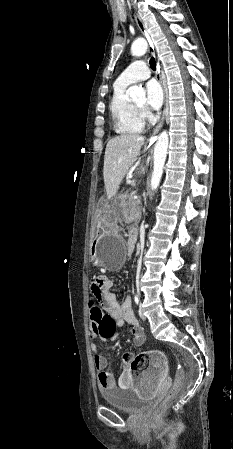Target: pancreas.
<instances>
[{
    "label": "pancreas",
    "instance_id": "pancreas-1",
    "mask_svg": "<svg viewBox=\"0 0 233 449\" xmlns=\"http://www.w3.org/2000/svg\"><path fill=\"white\" fill-rule=\"evenodd\" d=\"M123 198L128 199L130 201V203H131V206L134 208L133 209L134 213L132 214V217L140 218V216H141L140 207L137 204V201L134 199L133 195L132 194L131 195L125 194L123 196Z\"/></svg>",
    "mask_w": 233,
    "mask_h": 449
}]
</instances>
